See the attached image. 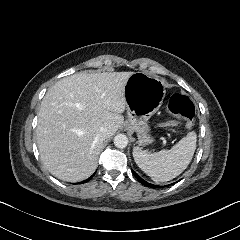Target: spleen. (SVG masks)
Segmentation results:
<instances>
[{"instance_id": "spleen-1", "label": "spleen", "mask_w": 240, "mask_h": 240, "mask_svg": "<svg viewBox=\"0 0 240 240\" xmlns=\"http://www.w3.org/2000/svg\"><path fill=\"white\" fill-rule=\"evenodd\" d=\"M197 147V133L190 132L170 150L148 153L140 147L133 148V158L138 167L155 182H169L177 178L192 162Z\"/></svg>"}]
</instances>
